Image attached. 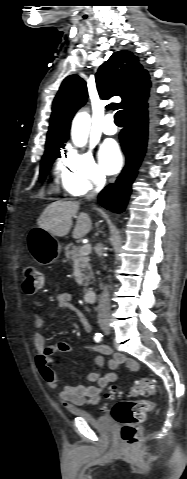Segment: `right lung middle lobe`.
Segmentation results:
<instances>
[{
	"label": "right lung middle lobe",
	"instance_id": "1",
	"mask_svg": "<svg viewBox=\"0 0 187 479\" xmlns=\"http://www.w3.org/2000/svg\"><path fill=\"white\" fill-rule=\"evenodd\" d=\"M60 156V149H52L45 152V155L42 158L41 169H40V182H43L47 172L57 157Z\"/></svg>",
	"mask_w": 187,
	"mask_h": 479
}]
</instances>
